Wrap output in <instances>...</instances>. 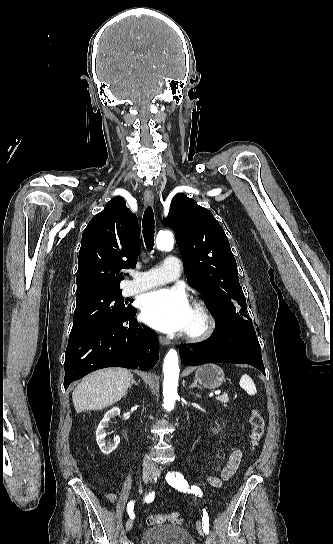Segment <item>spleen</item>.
<instances>
[{"label": "spleen", "instance_id": "spleen-1", "mask_svg": "<svg viewBox=\"0 0 333 544\" xmlns=\"http://www.w3.org/2000/svg\"><path fill=\"white\" fill-rule=\"evenodd\" d=\"M240 386L246 390L249 395L256 394V387L252 379L248 375H243L239 382Z\"/></svg>", "mask_w": 333, "mask_h": 544}]
</instances>
